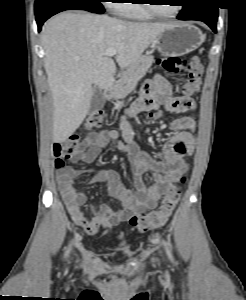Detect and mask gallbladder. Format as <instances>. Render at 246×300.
<instances>
[{"instance_id": "1", "label": "gallbladder", "mask_w": 246, "mask_h": 300, "mask_svg": "<svg viewBox=\"0 0 246 300\" xmlns=\"http://www.w3.org/2000/svg\"><path fill=\"white\" fill-rule=\"evenodd\" d=\"M104 102L105 98L102 90L97 85H93V94L90 103V111H98L104 106Z\"/></svg>"}]
</instances>
